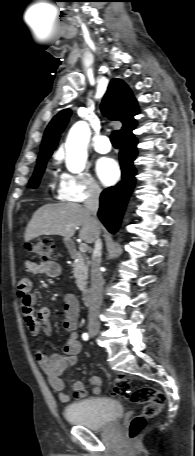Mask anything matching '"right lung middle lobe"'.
Instances as JSON below:
<instances>
[{
  "mask_svg": "<svg viewBox=\"0 0 195 456\" xmlns=\"http://www.w3.org/2000/svg\"><path fill=\"white\" fill-rule=\"evenodd\" d=\"M49 157L42 158L37 161V166L35 168L34 174L29 182V187L36 188L39 184L40 178L45 170L46 162Z\"/></svg>",
  "mask_w": 195,
  "mask_h": 456,
  "instance_id": "obj_1",
  "label": "right lung middle lobe"
}]
</instances>
